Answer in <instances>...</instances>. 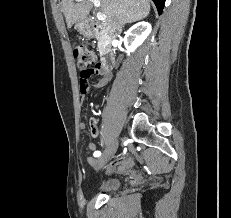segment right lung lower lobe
<instances>
[{
    "mask_svg": "<svg viewBox=\"0 0 231 218\" xmlns=\"http://www.w3.org/2000/svg\"><path fill=\"white\" fill-rule=\"evenodd\" d=\"M153 2L155 3L159 14H161L164 7L165 0H153Z\"/></svg>",
    "mask_w": 231,
    "mask_h": 218,
    "instance_id": "98d812e1",
    "label": "right lung lower lobe"
}]
</instances>
